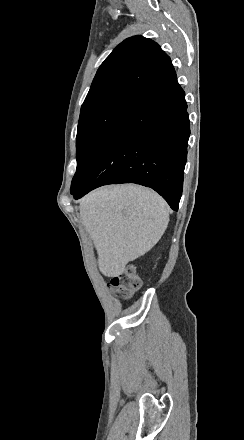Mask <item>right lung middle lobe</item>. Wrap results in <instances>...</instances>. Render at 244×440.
<instances>
[{
    "mask_svg": "<svg viewBox=\"0 0 244 440\" xmlns=\"http://www.w3.org/2000/svg\"><path fill=\"white\" fill-rule=\"evenodd\" d=\"M139 99L118 95L109 100L82 105L76 137L77 170L71 185L82 176L106 137Z\"/></svg>",
    "mask_w": 244,
    "mask_h": 440,
    "instance_id": "dd1d6c3e",
    "label": "right lung middle lobe"
}]
</instances>
